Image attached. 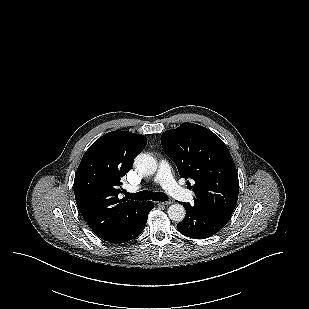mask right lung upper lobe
<instances>
[{"mask_svg":"<svg viewBox=\"0 0 309 309\" xmlns=\"http://www.w3.org/2000/svg\"><path fill=\"white\" fill-rule=\"evenodd\" d=\"M146 137L112 131L96 140L84 154L74 179L77 206L92 229L103 238L120 230L144 202L119 199L121 179L142 151Z\"/></svg>","mask_w":309,"mask_h":309,"instance_id":"obj_1","label":"right lung upper lobe"}]
</instances>
